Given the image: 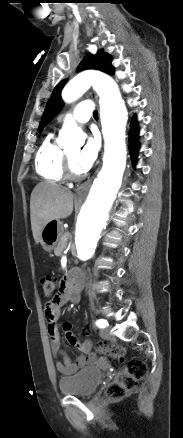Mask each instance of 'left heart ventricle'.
Here are the masks:
<instances>
[{"instance_id":"obj_1","label":"left heart ventricle","mask_w":183,"mask_h":438,"mask_svg":"<svg viewBox=\"0 0 183 438\" xmlns=\"http://www.w3.org/2000/svg\"><path fill=\"white\" fill-rule=\"evenodd\" d=\"M78 154H79L78 150H74V151H71V152L67 153L69 159L72 162V166H73L74 170L77 171V172H80V170L77 168L76 163H75L76 157L78 156Z\"/></svg>"}]
</instances>
